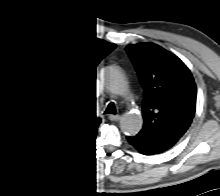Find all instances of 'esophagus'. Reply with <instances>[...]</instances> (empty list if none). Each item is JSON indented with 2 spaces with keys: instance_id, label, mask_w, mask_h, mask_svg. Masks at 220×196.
Returning <instances> with one entry per match:
<instances>
[{
  "instance_id": "obj_1",
  "label": "esophagus",
  "mask_w": 220,
  "mask_h": 196,
  "mask_svg": "<svg viewBox=\"0 0 220 196\" xmlns=\"http://www.w3.org/2000/svg\"><path fill=\"white\" fill-rule=\"evenodd\" d=\"M119 117H120V114H117V115H112V119H119Z\"/></svg>"
}]
</instances>
